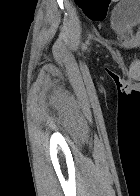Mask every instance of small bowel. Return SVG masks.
Returning <instances> with one entry per match:
<instances>
[{"label": "small bowel", "mask_w": 140, "mask_h": 196, "mask_svg": "<svg viewBox=\"0 0 140 196\" xmlns=\"http://www.w3.org/2000/svg\"><path fill=\"white\" fill-rule=\"evenodd\" d=\"M110 1H113V2H118L119 0H110Z\"/></svg>", "instance_id": "small-bowel-1"}]
</instances>
